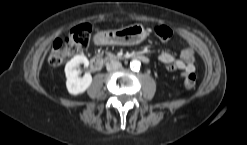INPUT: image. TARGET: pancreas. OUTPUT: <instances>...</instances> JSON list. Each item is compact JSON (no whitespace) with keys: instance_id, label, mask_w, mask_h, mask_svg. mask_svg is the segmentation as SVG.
<instances>
[{"instance_id":"obj_1","label":"pancreas","mask_w":247,"mask_h":145,"mask_svg":"<svg viewBox=\"0 0 247 145\" xmlns=\"http://www.w3.org/2000/svg\"><path fill=\"white\" fill-rule=\"evenodd\" d=\"M110 58L117 59V56L113 54H108V57L106 58V60H109Z\"/></svg>"}]
</instances>
